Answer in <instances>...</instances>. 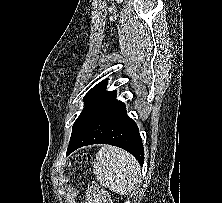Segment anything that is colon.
Returning <instances> with one entry per match:
<instances>
[{
  "label": "colon",
  "instance_id": "5ec220e1",
  "mask_svg": "<svg viewBox=\"0 0 222 203\" xmlns=\"http://www.w3.org/2000/svg\"><path fill=\"white\" fill-rule=\"evenodd\" d=\"M89 159H90V156L87 154L79 156V160H89Z\"/></svg>",
  "mask_w": 222,
  "mask_h": 203
}]
</instances>
